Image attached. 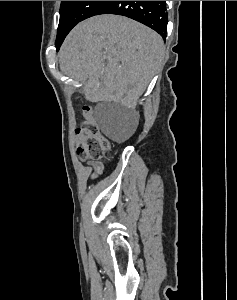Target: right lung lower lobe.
<instances>
[{"instance_id":"obj_1","label":"right lung lower lobe","mask_w":237,"mask_h":300,"mask_svg":"<svg viewBox=\"0 0 237 300\" xmlns=\"http://www.w3.org/2000/svg\"><path fill=\"white\" fill-rule=\"evenodd\" d=\"M100 14H117L132 18L166 38L168 14L165 1H109L96 15Z\"/></svg>"}]
</instances>
